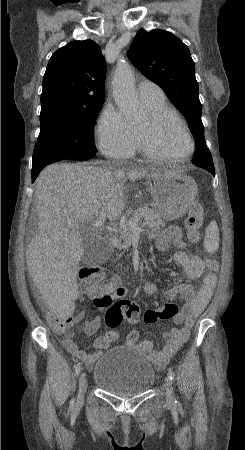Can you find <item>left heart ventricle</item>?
I'll list each match as a JSON object with an SVG mask.
<instances>
[{
  "label": "left heart ventricle",
  "mask_w": 245,
  "mask_h": 450,
  "mask_svg": "<svg viewBox=\"0 0 245 450\" xmlns=\"http://www.w3.org/2000/svg\"><path fill=\"white\" fill-rule=\"evenodd\" d=\"M139 129L147 132L153 144L166 155L179 156L190 150V142L184 131L171 120L165 121L158 129H151L148 117Z\"/></svg>",
  "instance_id": "1"
}]
</instances>
